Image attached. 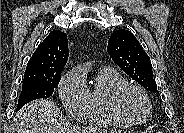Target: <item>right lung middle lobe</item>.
Segmentation results:
<instances>
[{
  "instance_id": "obj_1",
  "label": "right lung middle lobe",
  "mask_w": 184,
  "mask_h": 133,
  "mask_svg": "<svg viewBox=\"0 0 184 133\" xmlns=\"http://www.w3.org/2000/svg\"><path fill=\"white\" fill-rule=\"evenodd\" d=\"M60 79L61 76L51 78L47 81H23L17 110L32 100L50 97L54 89L58 86Z\"/></svg>"
}]
</instances>
